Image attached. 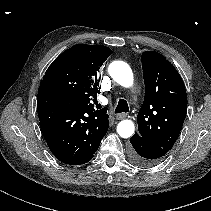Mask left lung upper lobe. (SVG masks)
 I'll return each instance as SVG.
<instances>
[{
  "instance_id": "left-lung-upper-lobe-1",
  "label": "left lung upper lobe",
  "mask_w": 211,
  "mask_h": 211,
  "mask_svg": "<svg viewBox=\"0 0 211 211\" xmlns=\"http://www.w3.org/2000/svg\"><path fill=\"white\" fill-rule=\"evenodd\" d=\"M142 68L145 97L138 112L137 134L169 151L187 113L185 86L175 67L157 52H143Z\"/></svg>"
}]
</instances>
